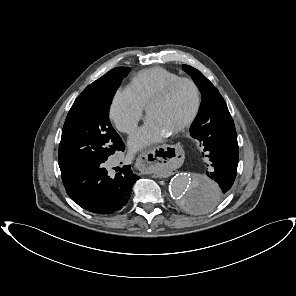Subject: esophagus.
<instances>
[{"label":"esophagus","mask_w":296,"mask_h":296,"mask_svg":"<svg viewBox=\"0 0 296 296\" xmlns=\"http://www.w3.org/2000/svg\"><path fill=\"white\" fill-rule=\"evenodd\" d=\"M182 151L168 142H159L135 157V166L144 174L168 170L182 160Z\"/></svg>","instance_id":"obj_1"}]
</instances>
